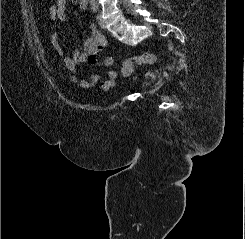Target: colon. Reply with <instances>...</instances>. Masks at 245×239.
<instances>
[{
    "mask_svg": "<svg viewBox=\"0 0 245 239\" xmlns=\"http://www.w3.org/2000/svg\"><path fill=\"white\" fill-rule=\"evenodd\" d=\"M154 62L155 55L153 53H144L134 56L123 62L121 72L123 75H130L135 65L153 64Z\"/></svg>",
    "mask_w": 245,
    "mask_h": 239,
    "instance_id": "obj_1",
    "label": "colon"
}]
</instances>
